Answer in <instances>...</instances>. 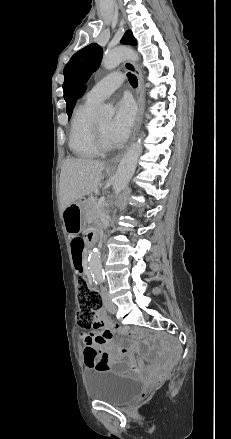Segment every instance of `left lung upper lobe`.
<instances>
[{
  "instance_id": "obj_1",
  "label": "left lung upper lobe",
  "mask_w": 231,
  "mask_h": 439,
  "mask_svg": "<svg viewBox=\"0 0 231 439\" xmlns=\"http://www.w3.org/2000/svg\"><path fill=\"white\" fill-rule=\"evenodd\" d=\"M122 44L135 45L132 32L127 31L121 40ZM103 49L98 44H90L76 52L64 68V99L67 103V114L70 119L77 97L91 74L101 63Z\"/></svg>"
}]
</instances>
